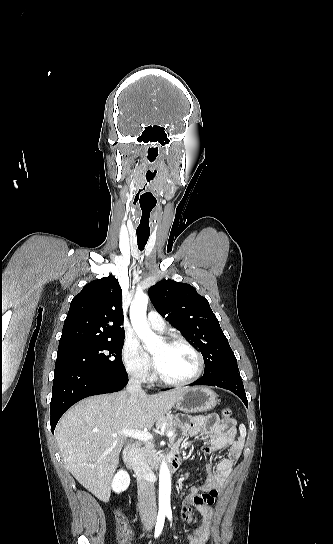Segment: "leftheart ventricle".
<instances>
[{
	"mask_svg": "<svg viewBox=\"0 0 333 544\" xmlns=\"http://www.w3.org/2000/svg\"><path fill=\"white\" fill-rule=\"evenodd\" d=\"M156 367L165 379L185 380L197 369L195 355L182 345L169 346L161 343L152 351Z\"/></svg>",
	"mask_w": 333,
	"mask_h": 544,
	"instance_id": "left-heart-ventricle-1",
	"label": "left heart ventricle"
}]
</instances>
